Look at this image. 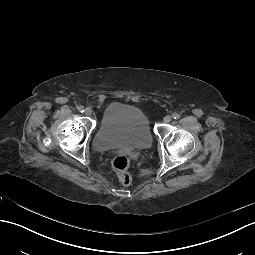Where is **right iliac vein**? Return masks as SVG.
I'll return each mask as SVG.
<instances>
[{
    "instance_id": "obj_1",
    "label": "right iliac vein",
    "mask_w": 255,
    "mask_h": 255,
    "mask_svg": "<svg viewBox=\"0 0 255 255\" xmlns=\"http://www.w3.org/2000/svg\"><path fill=\"white\" fill-rule=\"evenodd\" d=\"M84 113L86 116H90L92 114V110L90 108H86Z\"/></svg>"
}]
</instances>
